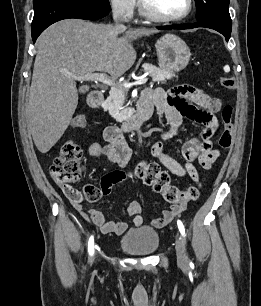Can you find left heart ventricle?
<instances>
[{
	"label": "left heart ventricle",
	"mask_w": 261,
	"mask_h": 306,
	"mask_svg": "<svg viewBox=\"0 0 261 306\" xmlns=\"http://www.w3.org/2000/svg\"><path fill=\"white\" fill-rule=\"evenodd\" d=\"M149 4L164 16H177L187 8V0H147Z\"/></svg>",
	"instance_id": "b2bd125f"
}]
</instances>
